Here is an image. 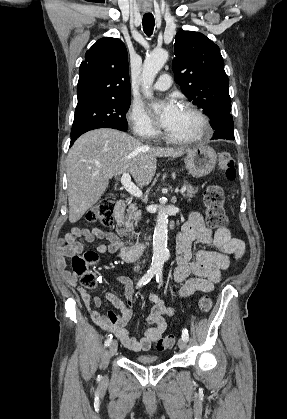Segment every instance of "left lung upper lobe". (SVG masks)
Returning <instances> with one entry per match:
<instances>
[{
	"label": "left lung upper lobe",
	"mask_w": 287,
	"mask_h": 419,
	"mask_svg": "<svg viewBox=\"0 0 287 419\" xmlns=\"http://www.w3.org/2000/svg\"><path fill=\"white\" fill-rule=\"evenodd\" d=\"M174 49L176 82L216 129L231 112L229 80L219 47L202 33L181 30L175 36Z\"/></svg>",
	"instance_id": "left-lung-upper-lobe-1"
}]
</instances>
